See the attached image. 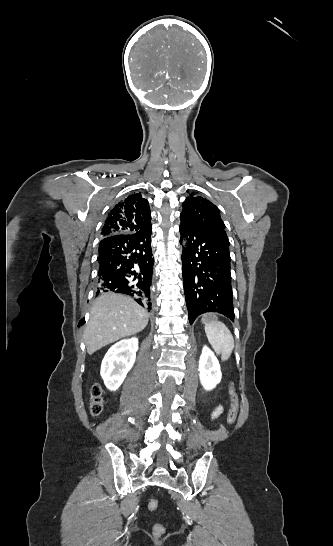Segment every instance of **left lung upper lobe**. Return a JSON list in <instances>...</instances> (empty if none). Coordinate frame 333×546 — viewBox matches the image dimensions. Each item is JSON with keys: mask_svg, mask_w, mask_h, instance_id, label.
Masks as SVG:
<instances>
[{"mask_svg": "<svg viewBox=\"0 0 333 546\" xmlns=\"http://www.w3.org/2000/svg\"><path fill=\"white\" fill-rule=\"evenodd\" d=\"M180 217L201 227L225 230L219 209L209 200L195 194L184 201Z\"/></svg>", "mask_w": 333, "mask_h": 546, "instance_id": "obj_1", "label": "left lung upper lobe"}]
</instances>
